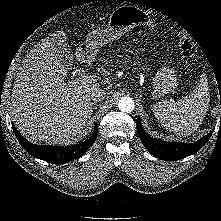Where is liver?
Masks as SVG:
<instances>
[{"label":"liver","instance_id":"obj_1","mask_svg":"<svg viewBox=\"0 0 221 221\" xmlns=\"http://www.w3.org/2000/svg\"><path fill=\"white\" fill-rule=\"evenodd\" d=\"M60 31L31 49L23 59L12 89L11 113L19 130L31 141L70 142L90 117V92L99 83L66 82L68 68L57 55ZM79 61L86 57L79 54Z\"/></svg>","mask_w":221,"mask_h":221}]
</instances>
